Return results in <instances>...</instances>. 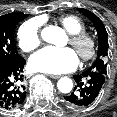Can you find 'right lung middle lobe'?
Segmentation results:
<instances>
[{
  "label": "right lung middle lobe",
  "mask_w": 117,
  "mask_h": 117,
  "mask_svg": "<svg viewBox=\"0 0 117 117\" xmlns=\"http://www.w3.org/2000/svg\"><path fill=\"white\" fill-rule=\"evenodd\" d=\"M25 17L27 15L21 12L0 16V60L15 61L21 58L14 42V31L16 24Z\"/></svg>",
  "instance_id": "1"
}]
</instances>
